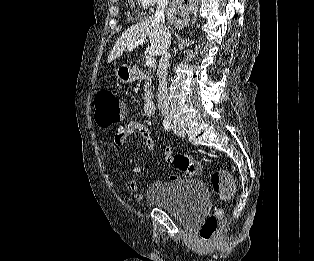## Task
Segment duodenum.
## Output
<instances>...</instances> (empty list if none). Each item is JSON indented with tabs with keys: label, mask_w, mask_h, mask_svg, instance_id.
I'll return each mask as SVG.
<instances>
[{
	"label": "duodenum",
	"mask_w": 314,
	"mask_h": 261,
	"mask_svg": "<svg viewBox=\"0 0 314 261\" xmlns=\"http://www.w3.org/2000/svg\"><path fill=\"white\" fill-rule=\"evenodd\" d=\"M145 74L140 71L134 72V79L137 81H142L145 79ZM155 104L151 98H146L143 103V113L146 116H152L154 114Z\"/></svg>",
	"instance_id": "1"
}]
</instances>
